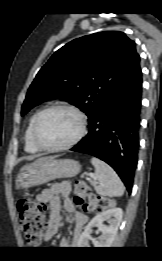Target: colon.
Returning <instances> with one entry per match:
<instances>
[{
    "label": "colon",
    "mask_w": 162,
    "mask_h": 261,
    "mask_svg": "<svg viewBox=\"0 0 162 261\" xmlns=\"http://www.w3.org/2000/svg\"><path fill=\"white\" fill-rule=\"evenodd\" d=\"M74 202L85 212L101 211L112 206L109 198L95 196L92 188L84 181H79L74 189ZM20 218V228L25 240L30 245L41 242L44 231L43 209L28 194H24L17 201Z\"/></svg>",
    "instance_id": "colon-1"
}]
</instances>
